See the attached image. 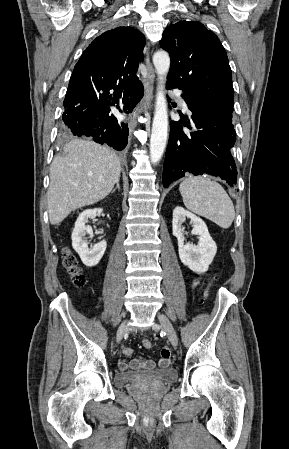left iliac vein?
I'll use <instances>...</instances> for the list:
<instances>
[{
    "label": "left iliac vein",
    "mask_w": 289,
    "mask_h": 449,
    "mask_svg": "<svg viewBox=\"0 0 289 449\" xmlns=\"http://www.w3.org/2000/svg\"><path fill=\"white\" fill-rule=\"evenodd\" d=\"M158 320H159V322H160L162 328H163L164 331L166 332L167 337H168L170 343H171L174 347H176V346L178 345V338H177L176 332H175V330H174V328H173L171 322L169 321V319L167 318L166 315L161 314V313L158 314ZM153 328H154L155 330H157L158 325H157V324H154V325H153Z\"/></svg>",
    "instance_id": "obj_1"
}]
</instances>
